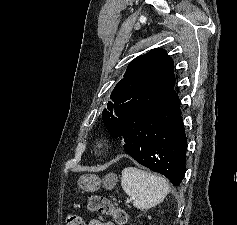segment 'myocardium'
<instances>
[{"label":"myocardium","instance_id":"f54148a6","mask_svg":"<svg viewBox=\"0 0 237 225\" xmlns=\"http://www.w3.org/2000/svg\"><path fill=\"white\" fill-rule=\"evenodd\" d=\"M94 148L97 152H102L105 149V142L102 140L95 142Z\"/></svg>","mask_w":237,"mask_h":225}]
</instances>
